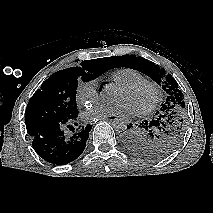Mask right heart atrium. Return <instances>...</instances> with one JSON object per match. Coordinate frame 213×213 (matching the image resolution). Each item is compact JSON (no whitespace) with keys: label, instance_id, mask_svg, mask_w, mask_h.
Listing matches in <instances>:
<instances>
[{"label":"right heart atrium","instance_id":"d8ad5b80","mask_svg":"<svg viewBox=\"0 0 213 213\" xmlns=\"http://www.w3.org/2000/svg\"><path fill=\"white\" fill-rule=\"evenodd\" d=\"M99 99L98 84L96 80L79 82L76 90L77 103L90 106Z\"/></svg>","mask_w":213,"mask_h":213}]
</instances>
